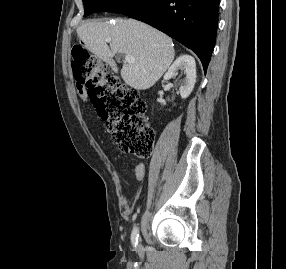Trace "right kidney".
<instances>
[{"mask_svg": "<svg viewBox=\"0 0 286 269\" xmlns=\"http://www.w3.org/2000/svg\"><path fill=\"white\" fill-rule=\"evenodd\" d=\"M184 71L185 78L183 80V85L180 87V95L182 99L187 98L195 85L196 82V64L195 59L190 55H182L170 66L167 73L164 76V80L167 81L171 79L178 70ZM159 95H163V91L159 92ZM165 105L166 102L162 101Z\"/></svg>", "mask_w": 286, "mask_h": 269, "instance_id": "1", "label": "right kidney"}]
</instances>
